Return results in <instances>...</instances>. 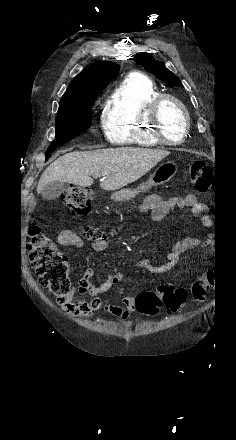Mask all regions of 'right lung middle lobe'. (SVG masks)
<instances>
[{
	"instance_id": "dd1d6c3e",
	"label": "right lung middle lobe",
	"mask_w": 236,
	"mask_h": 440,
	"mask_svg": "<svg viewBox=\"0 0 236 440\" xmlns=\"http://www.w3.org/2000/svg\"><path fill=\"white\" fill-rule=\"evenodd\" d=\"M98 93L60 103L56 117L55 140L48 149L63 145L91 126V106Z\"/></svg>"
}]
</instances>
